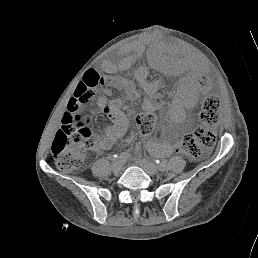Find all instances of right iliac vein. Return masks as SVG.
Wrapping results in <instances>:
<instances>
[{
	"mask_svg": "<svg viewBox=\"0 0 258 258\" xmlns=\"http://www.w3.org/2000/svg\"><path fill=\"white\" fill-rule=\"evenodd\" d=\"M123 169V161L118 160L113 163L112 170L114 173H119Z\"/></svg>",
	"mask_w": 258,
	"mask_h": 258,
	"instance_id": "right-iliac-vein-1",
	"label": "right iliac vein"
}]
</instances>
